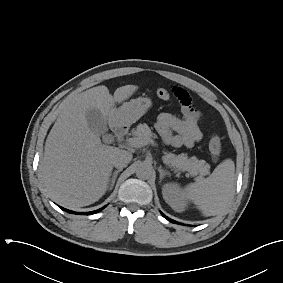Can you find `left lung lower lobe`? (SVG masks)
I'll use <instances>...</instances> for the list:
<instances>
[{
	"instance_id": "left-lung-lower-lobe-1",
	"label": "left lung lower lobe",
	"mask_w": 283,
	"mask_h": 283,
	"mask_svg": "<svg viewBox=\"0 0 283 283\" xmlns=\"http://www.w3.org/2000/svg\"><path fill=\"white\" fill-rule=\"evenodd\" d=\"M162 215H163L167 220H169L170 222H172V223H177V222H175L174 220H172V219L166 217L164 214H162Z\"/></svg>"
}]
</instances>
